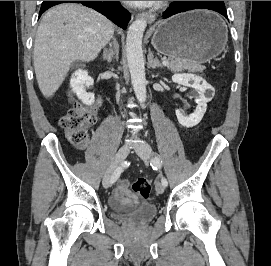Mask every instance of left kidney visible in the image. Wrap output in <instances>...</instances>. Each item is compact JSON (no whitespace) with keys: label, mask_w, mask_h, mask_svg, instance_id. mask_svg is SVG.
Returning <instances> with one entry per match:
<instances>
[{"label":"left kidney","mask_w":271,"mask_h":266,"mask_svg":"<svg viewBox=\"0 0 271 266\" xmlns=\"http://www.w3.org/2000/svg\"><path fill=\"white\" fill-rule=\"evenodd\" d=\"M172 81L179 85L192 86L198 90L199 96L195 99L197 107L192 114L184 116L181 111H175L176 117L182 126L186 128L194 127L202 120L207 103L212 98L211 95L207 96L206 92L209 91L212 94L213 88L203 78L194 74H175L172 76ZM190 82H193V84H190Z\"/></svg>","instance_id":"left-kidney-1"}]
</instances>
